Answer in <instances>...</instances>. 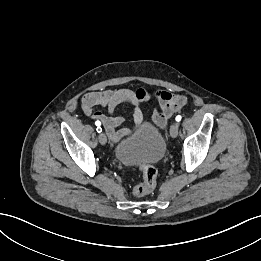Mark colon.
<instances>
[{"label": "colon", "instance_id": "colon-1", "mask_svg": "<svg viewBox=\"0 0 261 261\" xmlns=\"http://www.w3.org/2000/svg\"><path fill=\"white\" fill-rule=\"evenodd\" d=\"M139 171L142 182L133 188L132 192L135 197H142L153 192L157 185V169L153 165H142L139 167Z\"/></svg>", "mask_w": 261, "mask_h": 261}]
</instances>
